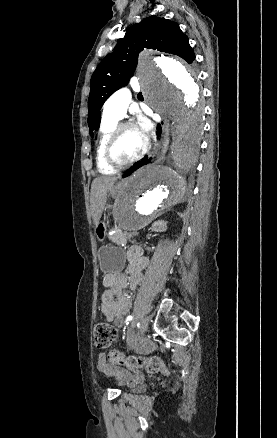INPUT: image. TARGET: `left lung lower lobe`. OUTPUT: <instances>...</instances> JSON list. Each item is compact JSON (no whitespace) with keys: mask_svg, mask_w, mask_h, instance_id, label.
Segmentation results:
<instances>
[{"mask_svg":"<svg viewBox=\"0 0 277 438\" xmlns=\"http://www.w3.org/2000/svg\"><path fill=\"white\" fill-rule=\"evenodd\" d=\"M158 129L160 130L161 127L160 125H158ZM158 135H160V131L157 132ZM150 159H148L147 156H145L141 161L136 162L131 168H129L123 175L122 177H127L129 176L132 172H134L136 169H138L139 167L149 163Z\"/></svg>","mask_w":277,"mask_h":438,"instance_id":"obj_1","label":"left lung lower lobe"}]
</instances>
